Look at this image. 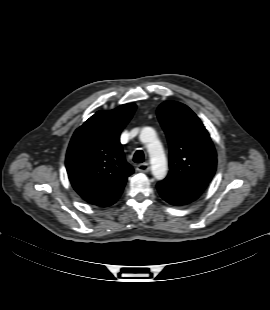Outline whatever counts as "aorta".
Instances as JSON below:
<instances>
[{
  "label": "aorta",
  "mask_w": 270,
  "mask_h": 310,
  "mask_svg": "<svg viewBox=\"0 0 270 310\" xmlns=\"http://www.w3.org/2000/svg\"><path fill=\"white\" fill-rule=\"evenodd\" d=\"M140 140L148 144L151 171L157 180H162L167 175V160L162 144L157 139L156 132L151 127H145L140 133Z\"/></svg>",
  "instance_id": "762f6f07"
}]
</instances>
